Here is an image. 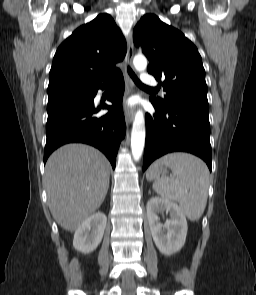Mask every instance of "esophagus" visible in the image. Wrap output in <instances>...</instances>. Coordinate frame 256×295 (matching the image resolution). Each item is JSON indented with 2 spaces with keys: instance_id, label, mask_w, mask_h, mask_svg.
<instances>
[{
  "instance_id": "esophagus-1",
  "label": "esophagus",
  "mask_w": 256,
  "mask_h": 295,
  "mask_svg": "<svg viewBox=\"0 0 256 295\" xmlns=\"http://www.w3.org/2000/svg\"><path fill=\"white\" fill-rule=\"evenodd\" d=\"M133 56H134V44H133L132 32H130L129 37H128V41H127V54H126V61H127L128 66H131ZM131 90H132V85L128 79L126 94L128 95L131 92ZM134 113L135 112H134L133 108H125V110H124L125 118L129 123L132 122V120L134 118Z\"/></svg>"
}]
</instances>
